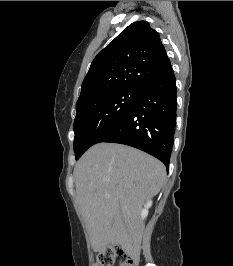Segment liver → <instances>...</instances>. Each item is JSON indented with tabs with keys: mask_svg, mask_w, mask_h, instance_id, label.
<instances>
[{
	"mask_svg": "<svg viewBox=\"0 0 233 266\" xmlns=\"http://www.w3.org/2000/svg\"><path fill=\"white\" fill-rule=\"evenodd\" d=\"M74 175L93 249L104 251L112 244L133 253L144 228L141 207L165 181L163 163L127 145L99 143L76 163Z\"/></svg>",
	"mask_w": 233,
	"mask_h": 266,
	"instance_id": "liver-1",
	"label": "liver"
}]
</instances>
